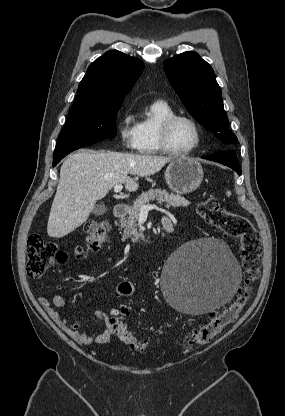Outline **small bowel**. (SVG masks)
Masks as SVG:
<instances>
[{
  "label": "small bowel",
  "instance_id": "c3829d8e",
  "mask_svg": "<svg viewBox=\"0 0 285 416\" xmlns=\"http://www.w3.org/2000/svg\"><path fill=\"white\" fill-rule=\"evenodd\" d=\"M163 221H170L173 224V221L169 217H165ZM40 305L43 307L47 315L52 319V321L69 337H71L76 343L80 345H93V344H104L107 343L114 334L112 323L110 320V315L103 311L97 310L94 312V315L97 319L103 322L104 328L101 333L96 335H88L85 332L80 330V321H75L69 323L66 318H64L54 307L63 308L66 305V300L61 295H55L50 302L44 297H38Z\"/></svg>",
  "mask_w": 285,
  "mask_h": 416
}]
</instances>
